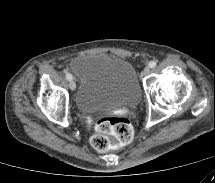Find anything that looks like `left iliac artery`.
I'll use <instances>...</instances> for the list:
<instances>
[{"label":"left iliac artery","instance_id":"44dca946","mask_svg":"<svg viewBox=\"0 0 215 183\" xmlns=\"http://www.w3.org/2000/svg\"><path fill=\"white\" fill-rule=\"evenodd\" d=\"M156 65H157V63H156L155 61H151V62L149 63V67H150V68H154V67H156Z\"/></svg>","mask_w":215,"mask_h":183}]
</instances>
